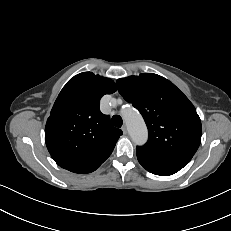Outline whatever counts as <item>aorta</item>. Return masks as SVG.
<instances>
[{
  "label": "aorta",
  "mask_w": 231,
  "mask_h": 231,
  "mask_svg": "<svg viewBox=\"0 0 231 231\" xmlns=\"http://www.w3.org/2000/svg\"><path fill=\"white\" fill-rule=\"evenodd\" d=\"M122 114L133 142L138 145L144 144L148 138V131L142 116L134 108H126Z\"/></svg>",
  "instance_id": "obj_1"
}]
</instances>
